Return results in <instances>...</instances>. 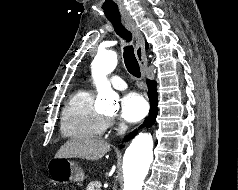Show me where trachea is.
I'll use <instances>...</instances> for the list:
<instances>
[{
	"label": "trachea",
	"mask_w": 238,
	"mask_h": 190,
	"mask_svg": "<svg viewBox=\"0 0 238 190\" xmlns=\"http://www.w3.org/2000/svg\"><path fill=\"white\" fill-rule=\"evenodd\" d=\"M109 21L112 23L117 35L128 43L132 40V34L124 27L120 18L109 19ZM123 57L128 72L133 76L140 78L141 72L132 45L124 47Z\"/></svg>",
	"instance_id": "1"
}]
</instances>
